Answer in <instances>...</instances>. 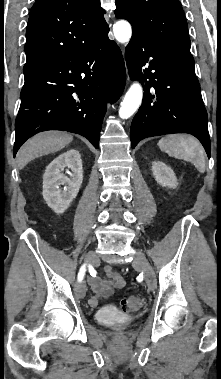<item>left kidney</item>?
Masks as SVG:
<instances>
[{
    "label": "left kidney",
    "instance_id": "1",
    "mask_svg": "<svg viewBox=\"0 0 221 379\" xmlns=\"http://www.w3.org/2000/svg\"><path fill=\"white\" fill-rule=\"evenodd\" d=\"M152 172L155 180L163 187L176 188L178 185L174 171L165 163L155 161L152 163Z\"/></svg>",
    "mask_w": 221,
    "mask_h": 379
}]
</instances>
